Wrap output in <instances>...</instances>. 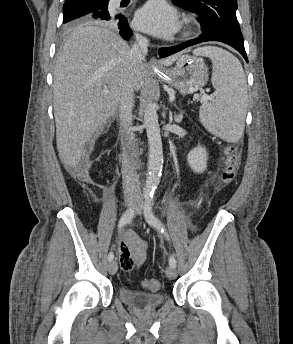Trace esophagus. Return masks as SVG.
<instances>
[{"label":"esophagus","mask_w":293,"mask_h":344,"mask_svg":"<svg viewBox=\"0 0 293 344\" xmlns=\"http://www.w3.org/2000/svg\"><path fill=\"white\" fill-rule=\"evenodd\" d=\"M150 66L153 67L154 69H158L160 67V63L158 62V60L154 57H152L150 59Z\"/></svg>","instance_id":"1"}]
</instances>
